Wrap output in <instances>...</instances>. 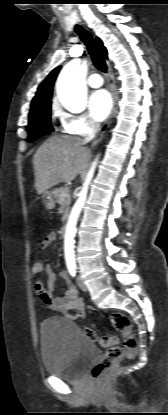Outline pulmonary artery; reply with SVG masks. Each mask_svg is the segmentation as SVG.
<instances>
[{
    "mask_svg": "<svg viewBox=\"0 0 168 415\" xmlns=\"http://www.w3.org/2000/svg\"><path fill=\"white\" fill-rule=\"evenodd\" d=\"M88 85L92 88H99L103 85V79L98 73H93L88 77Z\"/></svg>",
    "mask_w": 168,
    "mask_h": 415,
    "instance_id": "pulmonary-artery-1",
    "label": "pulmonary artery"
}]
</instances>
